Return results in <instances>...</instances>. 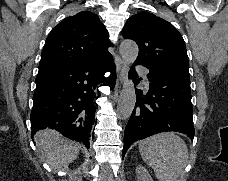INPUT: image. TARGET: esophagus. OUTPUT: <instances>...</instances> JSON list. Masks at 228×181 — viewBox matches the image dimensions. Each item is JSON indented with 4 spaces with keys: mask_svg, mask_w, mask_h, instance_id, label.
Returning <instances> with one entry per match:
<instances>
[{
    "mask_svg": "<svg viewBox=\"0 0 228 181\" xmlns=\"http://www.w3.org/2000/svg\"><path fill=\"white\" fill-rule=\"evenodd\" d=\"M128 66L126 63L122 60L121 61V67H120V72H119V86H122L126 83L127 81V76H128Z\"/></svg>",
    "mask_w": 228,
    "mask_h": 181,
    "instance_id": "obj_1",
    "label": "esophagus"
}]
</instances>
